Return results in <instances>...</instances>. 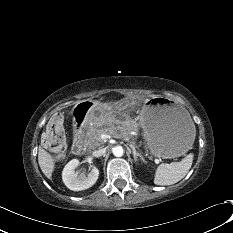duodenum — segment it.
Here are the masks:
<instances>
[{"label":"duodenum","mask_w":233,"mask_h":233,"mask_svg":"<svg viewBox=\"0 0 233 233\" xmlns=\"http://www.w3.org/2000/svg\"><path fill=\"white\" fill-rule=\"evenodd\" d=\"M92 111L93 103L91 101L80 102L71 111V124L74 127L72 149L76 154L81 153L84 148L83 127L86 124V116L90 115Z\"/></svg>","instance_id":"duodenum-1"}]
</instances>
